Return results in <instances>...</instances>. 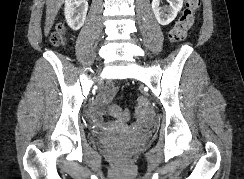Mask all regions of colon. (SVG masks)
Wrapping results in <instances>:
<instances>
[{
    "instance_id": "obj_1",
    "label": "colon",
    "mask_w": 244,
    "mask_h": 179,
    "mask_svg": "<svg viewBox=\"0 0 244 179\" xmlns=\"http://www.w3.org/2000/svg\"><path fill=\"white\" fill-rule=\"evenodd\" d=\"M200 8L198 0H188V4L182 15L179 17L174 27L170 32V37L175 43H180L185 40L195 25V14ZM67 29L64 25L59 24L52 34L51 41L55 46H64L66 43ZM108 109H116L115 111H106V116H115L119 119V123H130V111L128 107H122V104H108ZM137 110H150V102L148 98H139V103L136 106Z\"/></svg>"
}]
</instances>
